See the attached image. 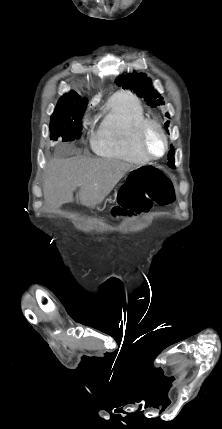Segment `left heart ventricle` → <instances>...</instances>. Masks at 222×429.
Instances as JSON below:
<instances>
[{"label": "left heart ventricle", "instance_id": "1", "mask_svg": "<svg viewBox=\"0 0 222 429\" xmlns=\"http://www.w3.org/2000/svg\"><path fill=\"white\" fill-rule=\"evenodd\" d=\"M145 141L147 148L153 155L160 156L163 153L165 144L163 137L157 129L150 128Z\"/></svg>", "mask_w": 222, "mask_h": 429}]
</instances>
